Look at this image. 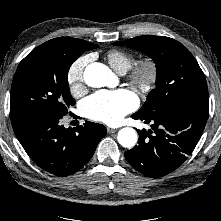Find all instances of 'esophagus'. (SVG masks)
<instances>
[{
	"label": "esophagus",
	"instance_id": "obj_1",
	"mask_svg": "<svg viewBox=\"0 0 221 221\" xmlns=\"http://www.w3.org/2000/svg\"><path fill=\"white\" fill-rule=\"evenodd\" d=\"M116 131H117V129H115V128L107 127V132H108V133H114V132H116Z\"/></svg>",
	"mask_w": 221,
	"mask_h": 221
}]
</instances>
